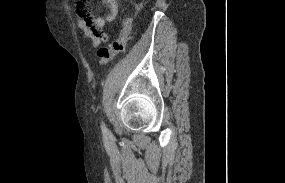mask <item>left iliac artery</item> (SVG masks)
Masks as SVG:
<instances>
[{
    "label": "left iliac artery",
    "mask_w": 285,
    "mask_h": 183,
    "mask_svg": "<svg viewBox=\"0 0 285 183\" xmlns=\"http://www.w3.org/2000/svg\"><path fill=\"white\" fill-rule=\"evenodd\" d=\"M101 129H102V132L106 135H109L110 134V131L109 129L106 127L105 123L102 121L101 123Z\"/></svg>",
    "instance_id": "44dca946"
}]
</instances>
